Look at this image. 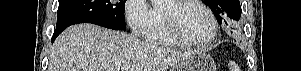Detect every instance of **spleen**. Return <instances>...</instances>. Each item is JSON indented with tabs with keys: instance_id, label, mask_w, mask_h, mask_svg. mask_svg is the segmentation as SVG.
<instances>
[{
	"instance_id": "3e777b00",
	"label": "spleen",
	"mask_w": 301,
	"mask_h": 71,
	"mask_svg": "<svg viewBox=\"0 0 301 71\" xmlns=\"http://www.w3.org/2000/svg\"><path fill=\"white\" fill-rule=\"evenodd\" d=\"M230 65L232 66L230 69H232L231 71H239V68L233 64V63H230Z\"/></svg>"
}]
</instances>
